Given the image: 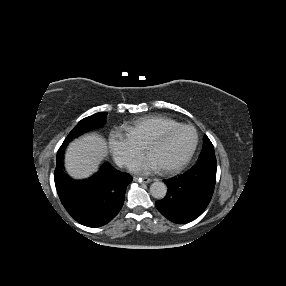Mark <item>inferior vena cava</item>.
<instances>
[{
    "label": "inferior vena cava",
    "mask_w": 286,
    "mask_h": 286,
    "mask_svg": "<svg viewBox=\"0 0 286 286\" xmlns=\"http://www.w3.org/2000/svg\"><path fill=\"white\" fill-rule=\"evenodd\" d=\"M124 163H125V162L121 161V162H119L118 164H119V165H123Z\"/></svg>",
    "instance_id": "obj_1"
}]
</instances>
